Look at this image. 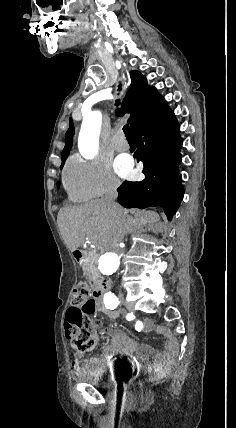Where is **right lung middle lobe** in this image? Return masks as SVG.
<instances>
[{"instance_id":"obj_1","label":"right lung middle lobe","mask_w":236,"mask_h":428,"mask_svg":"<svg viewBox=\"0 0 236 428\" xmlns=\"http://www.w3.org/2000/svg\"><path fill=\"white\" fill-rule=\"evenodd\" d=\"M57 186H58V187L60 186V182H58Z\"/></svg>"}]
</instances>
